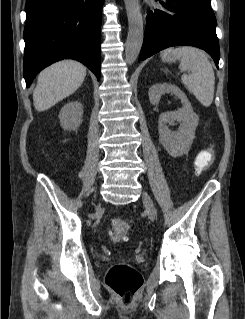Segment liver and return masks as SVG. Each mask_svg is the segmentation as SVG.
Listing matches in <instances>:
<instances>
[{"mask_svg":"<svg viewBox=\"0 0 245 319\" xmlns=\"http://www.w3.org/2000/svg\"><path fill=\"white\" fill-rule=\"evenodd\" d=\"M86 67L74 60H64L44 69L33 91L35 109L48 110L59 101L73 94L83 83Z\"/></svg>","mask_w":245,"mask_h":319,"instance_id":"1","label":"liver"}]
</instances>
